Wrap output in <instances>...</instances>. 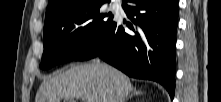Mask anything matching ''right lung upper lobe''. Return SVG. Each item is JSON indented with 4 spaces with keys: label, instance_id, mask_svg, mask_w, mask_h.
<instances>
[{
    "label": "right lung upper lobe",
    "instance_id": "1",
    "mask_svg": "<svg viewBox=\"0 0 221 102\" xmlns=\"http://www.w3.org/2000/svg\"><path fill=\"white\" fill-rule=\"evenodd\" d=\"M97 0H49L46 10L45 21L53 17L64 8L72 6L74 3H88Z\"/></svg>",
    "mask_w": 221,
    "mask_h": 102
}]
</instances>
